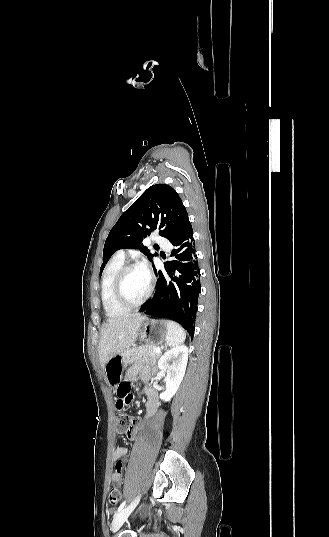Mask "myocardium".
Returning <instances> with one entry per match:
<instances>
[{
    "mask_svg": "<svg viewBox=\"0 0 329 537\" xmlns=\"http://www.w3.org/2000/svg\"><path fill=\"white\" fill-rule=\"evenodd\" d=\"M135 268H139V265L137 263L123 265L122 268L119 270L116 280H115V298L117 302L126 309H133V308H137L141 306L144 302L147 301V299L150 297L153 291V281L151 278H149L148 289L140 300L136 302H130L126 299L124 292H123L124 279L127 273Z\"/></svg>",
    "mask_w": 329,
    "mask_h": 537,
    "instance_id": "myocardium-1",
    "label": "myocardium"
}]
</instances>
